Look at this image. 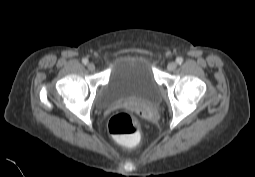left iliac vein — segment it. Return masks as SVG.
I'll use <instances>...</instances> for the list:
<instances>
[{
    "label": "left iliac vein",
    "instance_id": "obj_1",
    "mask_svg": "<svg viewBox=\"0 0 255 177\" xmlns=\"http://www.w3.org/2000/svg\"><path fill=\"white\" fill-rule=\"evenodd\" d=\"M176 67H177V64H176L175 62H170V63L167 65V69H168L169 71L175 70Z\"/></svg>",
    "mask_w": 255,
    "mask_h": 177
}]
</instances>
